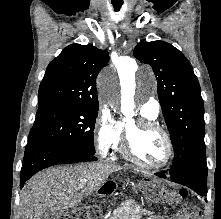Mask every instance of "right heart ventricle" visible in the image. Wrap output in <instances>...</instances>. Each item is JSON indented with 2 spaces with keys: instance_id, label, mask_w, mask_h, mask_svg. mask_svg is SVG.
Instances as JSON below:
<instances>
[{
  "instance_id": "e07e8e85",
  "label": "right heart ventricle",
  "mask_w": 221,
  "mask_h": 219,
  "mask_svg": "<svg viewBox=\"0 0 221 219\" xmlns=\"http://www.w3.org/2000/svg\"><path fill=\"white\" fill-rule=\"evenodd\" d=\"M142 114H143L144 117H146V118H148V119H151V120L155 118V117H152V116H150L149 114H146V113H143V112H142ZM124 128H125V126H124L123 124H121L120 138H119V140H118V143H117L115 149H118V150L120 149L119 144H120L121 134L124 132Z\"/></svg>"
}]
</instances>
